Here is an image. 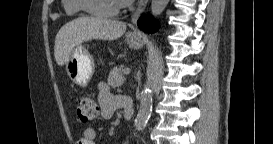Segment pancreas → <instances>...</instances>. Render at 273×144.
Segmentation results:
<instances>
[{"instance_id":"obj_1","label":"pancreas","mask_w":273,"mask_h":144,"mask_svg":"<svg viewBox=\"0 0 273 144\" xmlns=\"http://www.w3.org/2000/svg\"><path fill=\"white\" fill-rule=\"evenodd\" d=\"M124 67H114L108 76V85L113 88L120 87L125 82V77L123 76Z\"/></svg>"}]
</instances>
